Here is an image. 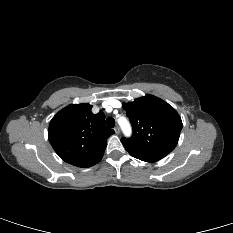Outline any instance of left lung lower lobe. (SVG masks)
<instances>
[{"mask_svg":"<svg viewBox=\"0 0 233 233\" xmlns=\"http://www.w3.org/2000/svg\"><path fill=\"white\" fill-rule=\"evenodd\" d=\"M130 155L137 158V159L145 161V162H156V161L162 159L163 157H165V156H161V155L133 154V153H130Z\"/></svg>","mask_w":233,"mask_h":233,"instance_id":"1","label":"left lung lower lobe"}]
</instances>
